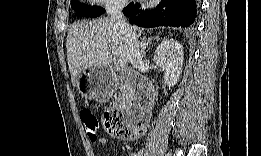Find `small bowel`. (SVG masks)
<instances>
[{"instance_id":"1","label":"small bowel","mask_w":261,"mask_h":156,"mask_svg":"<svg viewBox=\"0 0 261 156\" xmlns=\"http://www.w3.org/2000/svg\"><path fill=\"white\" fill-rule=\"evenodd\" d=\"M98 143L100 145H106L107 139L105 137H101V138L98 139Z\"/></svg>"}]
</instances>
